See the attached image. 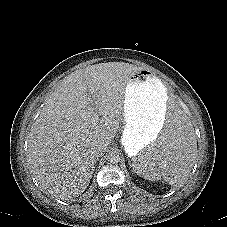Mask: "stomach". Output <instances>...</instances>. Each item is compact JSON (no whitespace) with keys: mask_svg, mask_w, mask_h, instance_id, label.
Listing matches in <instances>:
<instances>
[{"mask_svg":"<svg viewBox=\"0 0 227 227\" xmlns=\"http://www.w3.org/2000/svg\"><path fill=\"white\" fill-rule=\"evenodd\" d=\"M167 102V88L153 73L140 70L130 77L122 115V144L129 156L163 140Z\"/></svg>","mask_w":227,"mask_h":227,"instance_id":"1","label":"stomach"}]
</instances>
